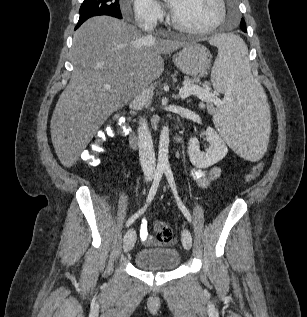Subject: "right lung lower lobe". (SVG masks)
I'll return each instance as SVG.
<instances>
[{"label": "right lung lower lobe", "mask_w": 307, "mask_h": 317, "mask_svg": "<svg viewBox=\"0 0 307 317\" xmlns=\"http://www.w3.org/2000/svg\"><path fill=\"white\" fill-rule=\"evenodd\" d=\"M83 22H84V21H78V24H77L75 30H76L77 28H79Z\"/></svg>", "instance_id": "right-lung-lower-lobe-1"}]
</instances>
